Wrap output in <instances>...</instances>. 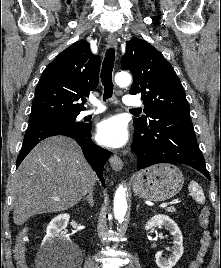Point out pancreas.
Instances as JSON below:
<instances>
[{"label":"pancreas","instance_id":"pancreas-1","mask_svg":"<svg viewBox=\"0 0 221 268\" xmlns=\"http://www.w3.org/2000/svg\"><path fill=\"white\" fill-rule=\"evenodd\" d=\"M167 212L175 213L176 209L174 207H169V208H167Z\"/></svg>","mask_w":221,"mask_h":268}]
</instances>
